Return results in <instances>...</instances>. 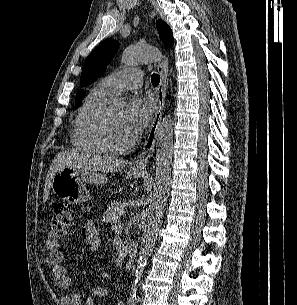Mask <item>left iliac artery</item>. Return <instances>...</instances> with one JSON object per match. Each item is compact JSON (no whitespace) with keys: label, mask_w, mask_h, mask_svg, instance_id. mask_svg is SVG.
Masks as SVG:
<instances>
[{"label":"left iliac artery","mask_w":297,"mask_h":305,"mask_svg":"<svg viewBox=\"0 0 297 305\" xmlns=\"http://www.w3.org/2000/svg\"><path fill=\"white\" fill-rule=\"evenodd\" d=\"M137 297L136 295H131L128 300V305H136Z\"/></svg>","instance_id":"obj_1"}]
</instances>
